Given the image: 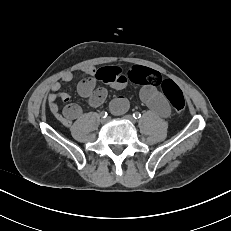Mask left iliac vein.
<instances>
[{"instance_id": "obj_1", "label": "left iliac vein", "mask_w": 231, "mask_h": 231, "mask_svg": "<svg viewBox=\"0 0 231 231\" xmlns=\"http://www.w3.org/2000/svg\"><path fill=\"white\" fill-rule=\"evenodd\" d=\"M124 118H125L126 120H128V121H129L130 123H132V124L135 123V119L133 118L132 115H126V116H124Z\"/></svg>"}]
</instances>
